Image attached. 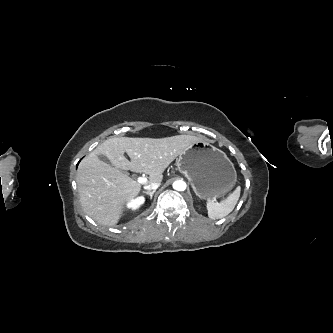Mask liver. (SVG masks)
I'll use <instances>...</instances> for the list:
<instances>
[{"label":"liver","instance_id":"obj_1","mask_svg":"<svg viewBox=\"0 0 333 333\" xmlns=\"http://www.w3.org/2000/svg\"><path fill=\"white\" fill-rule=\"evenodd\" d=\"M198 140L192 135H176L158 139L115 137L104 141L78 166L76 181L84 211L100 225H116L126 203L141 190V183L120 170L149 175L146 185L161 183L169 164ZM100 155L110 163L100 160Z\"/></svg>","mask_w":333,"mask_h":333}]
</instances>
